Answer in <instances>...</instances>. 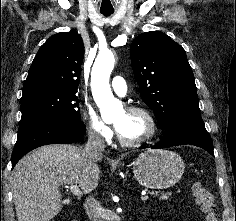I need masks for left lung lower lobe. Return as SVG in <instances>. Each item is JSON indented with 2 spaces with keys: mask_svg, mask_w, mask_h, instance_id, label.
Instances as JSON below:
<instances>
[{
  "mask_svg": "<svg viewBox=\"0 0 236 221\" xmlns=\"http://www.w3.org/2000/svg\"><path fill=\"white\" fill-rule=\"evenodd\" d=\"M191 144L205 149L212 156L213 142L206 131L202 118L179 119L167 129L162 141L153 148Z\"/></svg>",
  "mask_w": 236,
  "mask_h": 221,
  "instance_id": "left-lung-lower-lobe-1",
  "label": "left lung lower lobe"
}]
</instances>
